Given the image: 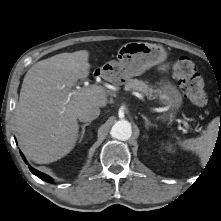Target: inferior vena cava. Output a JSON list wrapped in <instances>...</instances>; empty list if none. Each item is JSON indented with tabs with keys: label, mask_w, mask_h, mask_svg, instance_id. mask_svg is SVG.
<instances>
[{
	"label": "inferior vena cava",
	"mask_w": 221,
	"mask_h": 221,
	"mask_svg": "<svg viewBox=\"0 0 221 221\" xmlns=\"http://www.w3.org/2000/svg\"><path fill=\"white\" fill-rule=\"evenodd\" d=\"M100 115V108L96 105H89L78 113V119L81 122L92 121Z\"/></svg>",
	"instance_id": "inferior-vena-cava-1"
}]
</instances>
